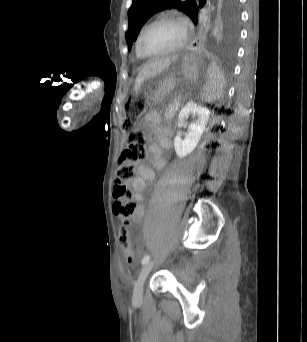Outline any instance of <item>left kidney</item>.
I'll return each mask as SVG.
<instances>
[{
    "label": "left kidney",
    "mask_w": 307,
    "mask_h": 342,
    "mask_svg": "<svg viewBox=\"0 0 307 342\" xmlns=\"http://www.w3.org/2000/svg\"><path fill=\"white\" fill-rule=\"evenodd\" d=\"M189 116L195 118L191 124L188 126V134H186L184 140L180 136L174 138V148L178 158H185L187 154H191L195 150L209 120L210 110L207 108H202L194 102H188L184 108H182L179 116L178 122L180 126H183L184 120H188Z\"/></svg>",
    "instance_id": "5707ae66"
}]
</instances>
